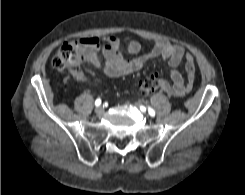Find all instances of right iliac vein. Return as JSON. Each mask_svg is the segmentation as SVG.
Returning a JSON list of instances; mask_svg holds the SVG:
<instances>
[{
	"instance_id": "63e3f726",
	"label": "right iliac vein",
	"mask_w": 245,
	"mask_h": 195,
	"mask_svg": "<svg viewBox=\"0 0 245 195\" xmlns=\"http://www.w3.org/2000/svg\"><path fill=\"white\" fill-rule=\"evenodd\" d=\"M95 112L97 115L101 116L104 113V107L103 106L97 107Z\"/></svg>"
}]
</instances>
